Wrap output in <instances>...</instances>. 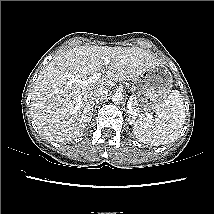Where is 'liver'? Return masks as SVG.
Instances as JSON below:
<instances>
[{
  "mask_svg": "<svg viewBox=\"0 0 214 214\" xmlns=\"http://www.w3.org/2000/svg\"><path fill=\"white\" fill-rule=\"evenodd\" d=\"M106 57L111 61L106 75L85 85L72 82L102 71ZM158 63L140 47L79 46L60 53L40 72L32 92L31 114L39 132L55 142L79 136L92 118L95 90L109 91L119 81L135 80Z\"/></svg>",
  "mask_w": 214,
  "mask_h": 214,
  "instance_id": "liver-1",
  "label": "liver"
}]
</instances>
